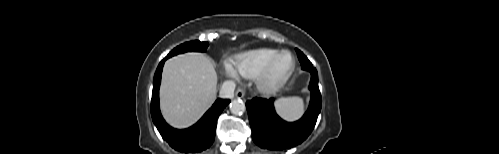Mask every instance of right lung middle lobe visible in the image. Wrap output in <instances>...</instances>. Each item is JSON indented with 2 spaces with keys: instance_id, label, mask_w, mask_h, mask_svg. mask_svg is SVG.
I'll list each match as a JSON object with an SVG mask.
<instances>
[{
  "instance_id": "1",
  "label": "right lung middle lobe",
  "mask_w": 499,
  "mask_h": 154,
  "mask_svg": "<svg viewBox=\"0 0 499 154\" xmlns=\"http://www.w3.org/2000/svg\"><path fill=\"white\" fill-rule=\"evenodd\" d=\"M207 42H200V41H190L186 42L184 44H181L174 48L168 55L167 58H170L174 55L188 52V51H198V52H205L207 47H208Z\"/></svg>"
}]
</instances>
